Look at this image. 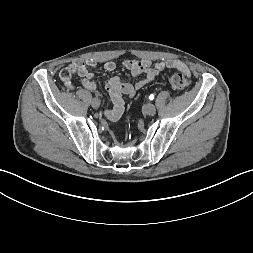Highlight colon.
<instances>
[{
	"label": "colon",
	"instance_id": "colon-1",
	"mask_svg": "<svg viewBox=\"0 0 253 253\" xmlns=\"http://www.w3.org/2000/svg\"><path fill=\"white\" fill-rule=\"evenodd\" d=\"M73 74L74 72L69 68H65L60 71V80L63 87L67 90H71L73 88L71 81ZM169 83L175 89H185L190 85V76L187 72H175L169 76Z\"/></svg>",
	"mask_w": 253,
	"mask_h": 253
}]
</instances>
